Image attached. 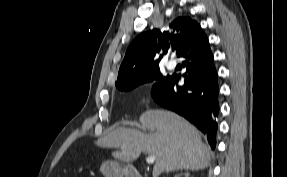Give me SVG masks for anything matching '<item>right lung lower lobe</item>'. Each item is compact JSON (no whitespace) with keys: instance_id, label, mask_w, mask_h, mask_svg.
<instances>
[{"instance_id":"right-lung-lower-lobe-1","label":"right lung lower lobe","mask_w":287,"mask_h":177,"mask_svg":"<svg viewBox=\"0 0 287 177\" xmlns=\"http://www.w3.org/2000/svg\"><path fill=\"white\" fill-rule=\"evenodd\" d=\"M178 57L184 58L186 67L184 85H178L179 75H167L164 81L153 85L152 97L161 106L193 123L207 136L214 149L219 87L213 55L203 30L184 45Z\"/></svg>"}]
</instances>
